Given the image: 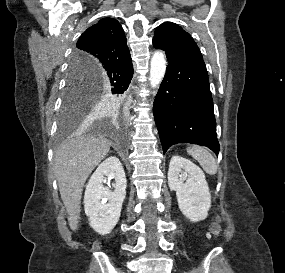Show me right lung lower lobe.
Wrapping results in <instances>:
<instances>
[{
  "instance_id": "98d812e1",
  "label": "right lung lower lobe",
  "mask_w": 285,
  "mask_h": 273,
  "mask_svg": "<svg viewBox=\"0 0 285 273\" xmlns=\"http://www.w3.org/2000/svg\"><path fill=\"white\" fill-rule=\"evenodd\" d=\"M94 84L111 94H121L127 90L133 77V65L131 56L123 61L105 65L94 71ZM117 102L107 103L113 109Z\"/></svg>"
}]
</instances>
